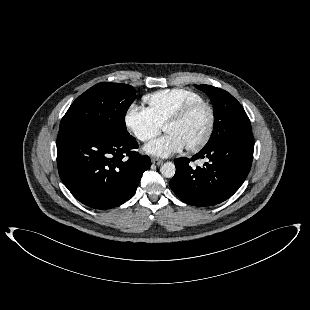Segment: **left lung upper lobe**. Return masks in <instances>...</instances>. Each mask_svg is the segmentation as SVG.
Listing matches in <instances>:
<instances>
[{
  "label": "left lung upper lobe",
  "mask_w": 310,
  "mask_h": 310,
  "mask_svg": "<svg viewBox=\"0 0 310 310\" xmlns=\"http://www.w3.org/2000/svg\"><path fill=\"white\" fill-rule=\"evenodd\" d=\"M195 87L209 96L214 108V129L204 148L251 132L250 120L245 110L231 94L210 85H196Z\"/></svg>",
  "instance_id": "1"
}]
</instances>
